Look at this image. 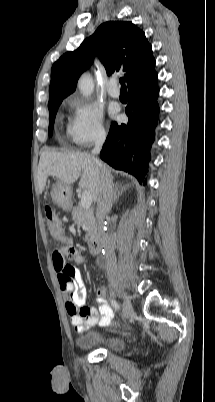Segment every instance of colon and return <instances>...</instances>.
I'll list each match as a JSON object with an SVG mask.
<instances>
[{
	"instance_id": "colon-1",
	"label": "colon",
	"mask_w": 215,
	"mask_h": 402,
	"mask_svg": "<svg viewBox=\"0 0 215 402\" xmlns=\"http://www.w3.org/2000/svg\"><path fill=\"white\" fill-rule=\"evenodd\" d=\"M45 216H46V221L48 228L51 232V234L59 238L60 243L65 244L68 241L67 236L62 235V229L61 226L56 218V214L54 209L51 206H46L45 208Z\"/></svg>"
}]
</instances>
